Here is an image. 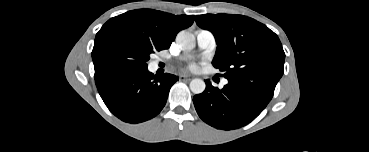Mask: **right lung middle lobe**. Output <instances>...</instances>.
Instances as JSON below:
<instances>
[{"label":"right lung middle lobe","mask_w":369,"mask_h":152,"mask_svg":"<svg viewBox=\"0 0 369 152\" xmlns=\"http://www.w3.org/2000/svg\"><path fill=\"white\" fill-rule=\"evenodd\" d=\"M160 49L138 34L119 28H101L96 34L92 59L95 78L122 68H146L150 55Z\"/></svg>","instance_id":"dd1d6c3e"}]
</instances>
